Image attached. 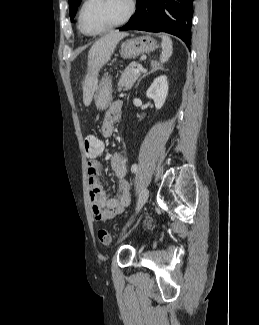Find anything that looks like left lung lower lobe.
<instances>
[{
	"label": "left lung lower lobe",
	"instance_id": "1",
	"mask_svg": "<svg viewBox=\"0 0 259 325\" xmlns=\"http://www.w3.org/2000/svg\"><path fill=\"white\" fill-rule=\"evenodd\" d=\"M193 0H137L135 14L119 30L167 32L190 46Z\"/></svg>",
	"mask_w": 259,
	"mask_h": 325
}]
</instances>
